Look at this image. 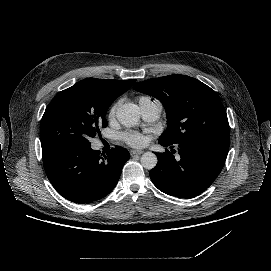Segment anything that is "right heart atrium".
<instances>
[{
  "instance_id": "d8ad5b80",
  "label": "right heart atrium",
  "mask_w": 271,
  "mask_h": 271,
  "mask_svg": "<svg viewBox=\"0 0 271 271\" xmlns=\"http://www.w3.org/2000/svg\"><path fill=\"white\" fill-rule=\"evenodd\" d=\"M121 102H122V99L119 98L113 103V105L110 107V109L108 111V117L109 118H111V117H113L115 115V112H116V110H117V108H118V106L120 105Z\"/></svg>"
}]
</instances>
